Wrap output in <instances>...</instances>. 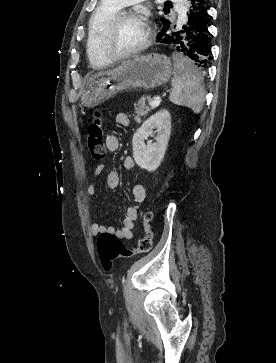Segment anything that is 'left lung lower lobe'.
Instances as JSON below:
<instances>
[{"label":"left lung lower lobe","instance_id":"1","mask_svg":"<svg viewBox=\"0 0 276 363\" xmlns=\"http://www.w3.org/2000/svg\"><path fill=\"white\" fill-rule=\"evenodd\" d=\"M187 1L188 11L183 23L161 27L157 41L186 56L204 71L209 54L207 0Z\"/></svg>","mask_w":276,"mask_h":363}]
</instances>
